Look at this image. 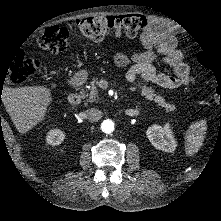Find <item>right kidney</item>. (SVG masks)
I'll return each instance as SVG.
<instances>
[{"label":"right kidney","mask_w":221,"mask_h":221,"mask_svg":"<svg viewBox=\"0 0 221 221\" xmlns=\"http://www.w3.org/2000/svg\"><path fill=\"white\" fill-rule=\"evenodd\" d=\"M67 138V133L58 126L48 128L44 135V143L47 146H57L63 143Z\"/></svg>","instance_id":"1"}]
</instances>
